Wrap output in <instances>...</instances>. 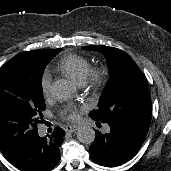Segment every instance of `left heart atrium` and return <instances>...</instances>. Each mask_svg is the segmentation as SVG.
I'll list each match as a JSON object with an SVG mask.
<instances>
[{
	"instance_id": "1",
	"label": "left heart atrium",
	"mask_w": 171,
	"mask_h": 171,
	"mask_svg": "<svg viewBox=\"0 0 171 171\" xmlns=\"http://www.w3.org/2000/svg\"><path fill=\"white\" fill-rule=\"evenodd\" d=\"M66 117L72 121L78 120L80 117V112L75 106H69L66 112Z\"/></svg>"
}]
</instances>
